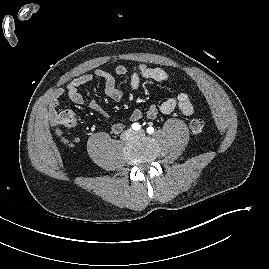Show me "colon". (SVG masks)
I'll list each match as a JSON object with an SVG mask.
<instances>
[{"label": "colon", "mask_w": 269, "mask_h": 269, "mask_svg": "<svg viewBox=\"0 0 269 269\" xmlns=\"http://www.w3.org/2000/svg\"><path fill=\"white\" fill-rule=\"evenodd\" d=\"M58 123L65 127H71L74 124V117L71 113L66 112L61 116ZM190 129L196 135L201 134L205 129L204 120L201 118L192 119L190 122Z\"/></svg>", "instance_id": "1"}]
</instances>
